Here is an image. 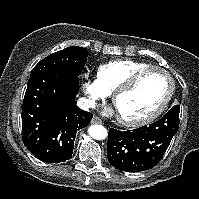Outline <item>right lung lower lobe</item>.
<instances>
[{
    "label": "right lung lower lobe",
    "mask_w": 199,
    "mask_h": 199,
    "mask_svg": "<svg viewBox=\"0 0 199 199\" xmlns=\"http://www.w3.org/2000/svg\"><path fill=\"white\" fill-rule=\"evenodd\" d=\"M78 90V78L65 70L30 75L22 107V138L38 159L59 163L71 158L76 132L93 117L76 105Z\"/></svg>",
    "instance_id": "98d812e1"
}]
</instances>
